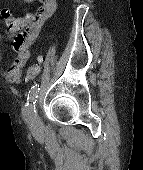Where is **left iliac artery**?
I'll use <instances>...</instances> for the list:
<instances>
[{
  "label": "left iliac artery",
  "mask_w": 143,
  "mask_h": 170,
  "mask_svg": "<svg viewBox=\"0 0 143 170\" xmlns=\"http://www.w3.org/2000/svg\"><path fill=\"white\" fill-rule=\"evenodd\" d=\"M39 90H40L39 84H36L35 86L31 87V89L29 90L28 98H27L28 101L26 105L27 106L26 112L28 114L36 113L35 104L38 98Z\"/></svg>",
  "instance_id": "left-iliac-artery-1"
}]
</instances>
